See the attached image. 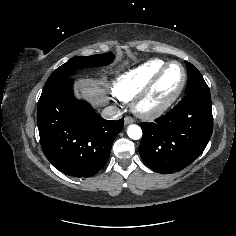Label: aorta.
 Listing matches in <instances>:
<instances>
[{"mask_svg": "<svg viewBox=\"0 0 236 236\" xmlns=\"http://www.w3.org/2000/svg\"><path fill=\"white\" fill-rule=\"evenodd\" d=\"M128 136L133 140H138L142 137V130L138 125L132 124L127 128Z\"/></svg>", "mask_w": 236, "mask_h": 236, "instance_id": "obj_1", "label": "aorta"}]
</instances>
